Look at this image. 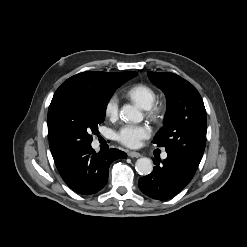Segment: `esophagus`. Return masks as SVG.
I'll list each match as a JSON object with an SVG mask.
<instances>
[{
    "instance_id": "obj_1",
    "label": "esophagus",
    "mask_w": 247,
    "mask_h": 247,
    "mask_svg": "<svg viewBox=\"0 0 247 247\" xmlns=\"http://www.w3.org/2000/svg\"><path fill=\"white\" fill-rule=\"evenodd\" d=\"M128 156H129L130 158H138V157L141 156V154H140L139 152L130 151V152H128Z\"/></svg>"
}]
</instances>
